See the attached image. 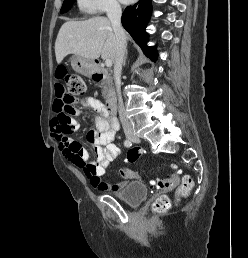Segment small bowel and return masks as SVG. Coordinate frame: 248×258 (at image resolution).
I'll use <instances>...</instances> for the list:
<instances>
[{"label": "small bowel", "mask_w": 248, "mask_h": 258, "mask_svg": "<svg viewBox=\"0 0 248 258\" xmlns=\"http://www.w3.org/2000/svg\"><path fill=\"white\" fill-rule=\"evenodd\" d=\"M56 97L60 98L66 94V91L61 82L55 84ZM81 104L85 107H89L95 111V116L93 117L94 130H90L87 134V140L91 143L97 154V160L93 161L88 152L84 150L81 145L74 141L68 134H62L58 131L55 122H53V137L58 141L60 151L63 156L77 167L85 169H92L93 174L88 175L93 187L100 191H113L117 192L121 190L129 180L137 178V174L127 168L120 170V175L123 178L122 182L107 184L102 180V176L105 174L110 163L119 157L120 149L114 144V138L116 132L119 129L118 120L114 117L109 116L104 104L93 97H86L81 100ZM73 115L79 116L81 110L73 108ZM71 124L75 129L79 128V123L77 119L71 120Z\"/></svg>", "instance_id": "small-bowel-1"}]
</instances>
